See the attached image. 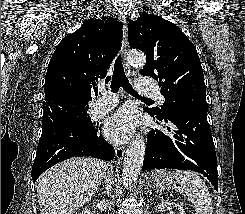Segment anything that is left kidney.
Instances as JSON below:
<instances>
[{
	"mask_svg": "<svg viewBox=\"0 0 245 214\" xmlns=\"http://www.w3.org/2000/svg\"><path fill=\"white\" fill-rule=\"evenodd\" d=\"M158 209L161 212H164L166 209L167 210L176 209L175 214H185L183 208L178 203L169 202V201H161L158 206Z\"/></svg>",
	"mask_w": 245,
	"mask_h": 214,
	"instance_id": "1",
	"label": "left kidney"
}]
</instances>
